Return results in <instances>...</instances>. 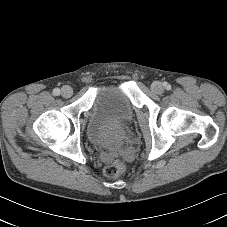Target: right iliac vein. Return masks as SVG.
I'll return each mask as SVG.
<instances>
[{"instance_id": "right-iliac-vein-1", "label": "right iliac vein", "mask_w": 227, "mask_h": 227, "mask_svg": "<svg viewBox=\"0 0 227 227\" xmlns=\"http://www.w3.org/2000/svg\"><path fill=\"white\" fill-rule=\"evenodd\" d=\"M61 94L63 97L69 98L73 94V89L70 86L65 85L62 87Z\"/></svg>"}]
</instances>
